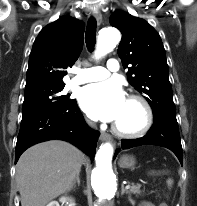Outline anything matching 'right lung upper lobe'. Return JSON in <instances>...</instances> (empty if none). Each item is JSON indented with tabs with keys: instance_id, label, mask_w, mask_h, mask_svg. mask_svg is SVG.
<instances>
[{
	"instance_id": "obj_1",
	"label": "right lung upper lobe",
	"mask_w": 197,
	"mask_h": 206,
	"mask_svg": "<svg viewBox=\"0 0 197 206\" xmlns=\"http://www.w3.org/2000/svg\"><path fill=\"white\" fill-rule=\"evenodd\" d=\"M84 24L63 16L44 27L35 39L29 56L26 86L65 85L64 71L72 67L83 47Z\"/></svg>"
}]
</instances>
